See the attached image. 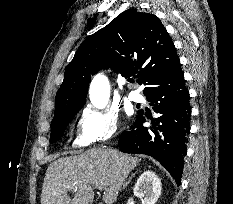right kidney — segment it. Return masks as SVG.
I'll return each instance as SVG.
<instances>
[{"instance_id": "ca27d5eb", "label": "right kidney", "mask_w": 233, "mask_h": 204, "mask_svg": "<svg viewBox=\"0 0 233 204\" xmlns=\"http://www.w3.org/2000/svg\"><path fill=\"white\" fill-rule=\"evenodd\" d=\"M161 179L153 171H145L137 179L133 193L144 204H155L161 195Z\"/></svg>"}]
</instances>
